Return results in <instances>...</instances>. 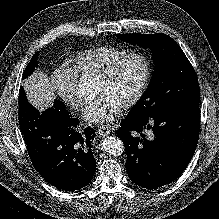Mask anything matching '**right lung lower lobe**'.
<instances>
[{
	"mask_svg": "<svg viewBox=\"0 0 219 219\" xmlns=\"http://www.w3.org/2000/svg\"><path fill=\"white\" fill-rule=\"evenodd\" d=\"M79 123L55 104L40 113L20 88L19 125L31 162L48 183L61 190L85 187L95 174L96 160L91 153L95 131L81 129Z\"/></svg>",
	"mask_w": 219,
	"mask_h": 219,
	"instance_id": "right-lung-lower-lobe-1",
	"label": "right lung lower lobe"
}]
</instances>
